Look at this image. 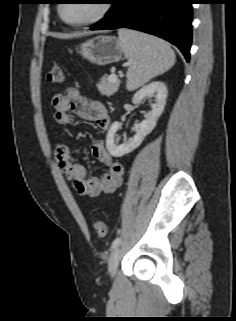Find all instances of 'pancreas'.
Returning <instances> with one entry per match:
<instances>
[{
	"instance_id": "cf45deb5",
	"label": "pancreas",
	"mask_w": 236,
	"mask_h": 321,
	"mask_svg": "<svg viewBox=\"0 0 236 321\" xmlns=\"http://www.w3.org/2000/svg\"><path fill=\"white\" fill-rule=\"evenodd\" d=\"M109 77L110 76H103L97 85L100 93L106 96H111L116 93L120 86L119 79L109 80Z\"/></svg>"
}]
</instances>
